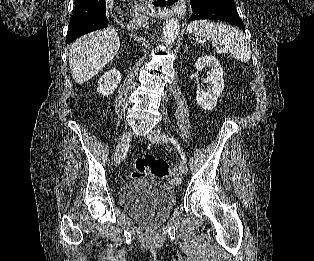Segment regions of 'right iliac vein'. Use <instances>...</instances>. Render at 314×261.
Listing matches in <instances>:
<instances>
[{"label":"right iliac vein","mask_w":314,"mask_h":261,"mask_svg":"<svg viewBox=\"0 0 314 261\" xmlns=\"http://www.w3.org/2000/svg\"><path fill=\"white\" fill-rule=\"evenodd\" d=\"M131 132L127 131L125 132L119 142H118V145H117V148H116V151H115V154H114V164L115 166H118L122 160V154L124 152V149L126 148L127 144L129 143V141L131 140Z\"/></svg>","instance_id":"obj_1"}]
</instances>
